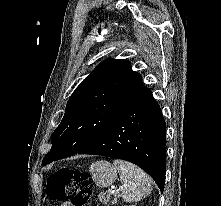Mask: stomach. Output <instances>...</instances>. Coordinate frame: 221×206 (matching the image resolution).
<instances>
[{
    "label": "stomach",
    "instance_id": "0dacf381",
    "mask_svg": "<svg viewBox=\"0 0 221 206\" xmlns=\"http://www.w3.org/2000/svg\"><path fill=\"white\" fill-rule=\"evenodd\" d=\"M89 172L93 181L101 188L112 185L117 177L115 167L107 161H97L93 163L89 168Z\"/></svg>",
    "mask_w": 221,
    "mask_h": 206
}]
</instances>
